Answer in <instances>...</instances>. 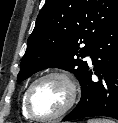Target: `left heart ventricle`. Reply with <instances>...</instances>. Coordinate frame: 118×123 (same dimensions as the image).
<instances>
[{
    "mask_svg": "<svg viewBox=\"0 0 118 123\" xmlns=\"http://www.w3.org/2000/svg\"><path fill=\"white\" fill-rule=\"evenodd\" d=\"M69 98L68 86L59 78H49L40 82L31 94V106L39 116L58 113Z\"/></svg>",
    "mask_w": 118,
    "mask_h": 123,
    "instance_id": "b2bd125f",
    "label": "left heart ventricle"
}]
</instances>
